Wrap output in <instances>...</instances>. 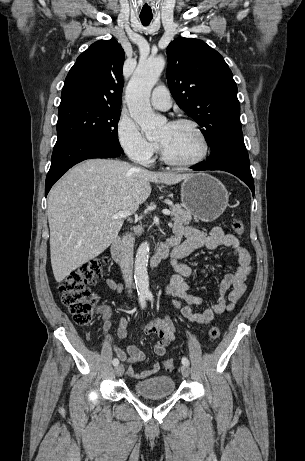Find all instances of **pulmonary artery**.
Here are the masks:
<instances>
[{
	"instance_id": "e3ab8cb5",
	"label": "pulmonary artery",
	"mask_w": 305,
	"mask_h": 461,
	"mask_svg": "<svg viewBox=\"0 0 305 461\" xmlns=\"http://www.w3.org/2000/svg\"><path fill=\"white\" fill-rule=\"evenodd\" d=\"M151 104L154 108L168 110L172 105V99L166 86L160 85L153 89Z\"/></svg>"
}]
</instances>
